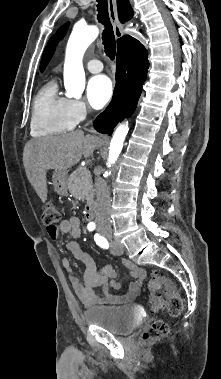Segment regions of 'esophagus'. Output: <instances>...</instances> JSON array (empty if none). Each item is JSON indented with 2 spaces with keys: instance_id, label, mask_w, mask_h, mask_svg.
Masks as SVG:
<instances>
[{
  "instance_id": "1",
  "label": "esophagus",
  "mask_w": 221,
  "mask_h": 379,
  "mask_svg": "<svg viewBox=\"0 0 221 379\" xmlns=\"http://www.w3.org/2000/svg\"><path fill=\"white\" fill-rule=\"evenodd\" d=\"M107 3L109 17L113 25L114 34L115 37L118 39L123 35V27L118 18L116 0H107Z\"/></svg>"
}]
</instances>
